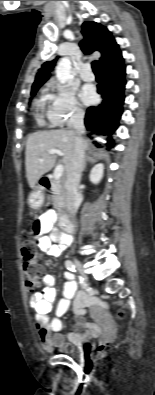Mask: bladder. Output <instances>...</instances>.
<instances>
[{
  "mask_svg": "<svg viewBox=\"0 0 155 395\" xmlns=\"http://www.w3.org/2000/svg\"><path fill=\"white\" fill-rule=\"evenodd\" d=\"M89 345V344H86ZM63 354L72 356V357H77L80 354V350L77 346L71 345V344H66L64 345L61 350Z\"/></svg>",
  "mask_w": 155,
  "mask_h": 395,
  "instance_id": "31cf9c89",
  "label": "bladder"
}]
</instances>
